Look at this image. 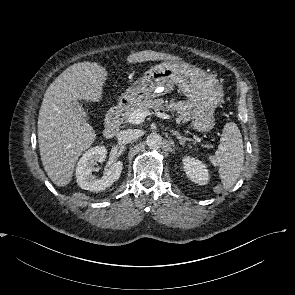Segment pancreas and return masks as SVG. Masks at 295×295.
<instances>
[{
    "label": "pancreas",
    "instance_id": "1",
    "mask_svg": "<svg viewBox=\"0 0 295 295\" xmlns=\"http://www.w3.org/2000/svg\"><path fill=\"white\" fill-rule=\"evenodd\" d=\"M138 109L143 111H149L150 109H153L156 112L160 110L176 112L178 114V119L182 122L189 121L192 114V105L187 102H176L174 99H171L170 101H164L163 99H145L132 104L129 108H127L122 114V119L127 120L130 114Z\"/></svg>",
    "mask_w": 295,
    "mask_h": 295
}]
</instances>
